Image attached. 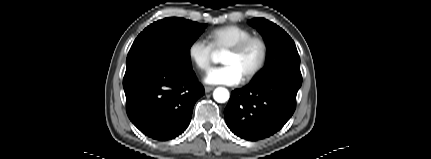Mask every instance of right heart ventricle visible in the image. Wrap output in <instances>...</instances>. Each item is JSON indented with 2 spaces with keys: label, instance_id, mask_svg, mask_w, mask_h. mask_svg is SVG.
Instances as JSON below:
<instances>
[{
  "label": "right heart ventricle",
  "instance_id": "1",
  "mask_svg": "<svg viewBox=\"0 0 431 159\" xmlns=\"http://www.w3.org/2000/svg\"><path fill=\"white\" fill-rule=\"evenodd\" d=\"M252 36V32L237 25H227L212 30L209 34L214 50L222 52Z\"/></svg>",
  "mask_w": 431,
  "mask_h": 159
}]
</instances>
